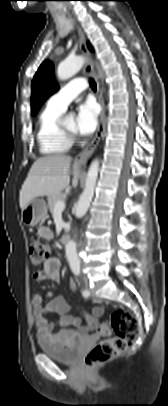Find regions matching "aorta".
I'll return each instance as SVG.
<instances>
[{
  "mask_svg": "<svg viewBox=\"0 0 168 406\" xmlns=\"http://www.w3.org/2000/svg\"><path fill=\"white\" fill-rule=\"evenodd\" d=\"M85 62L84 57L82 56H70L66 58L64 61H62L58 68H57V76L60 80H66L74 76L83 66ZM73 119V115H70L67 118V121ZM98 171H99V160L95 159L88 170L87 173V178H86V184H85V189L83 193L81 194L77 207H76V212L75 215L76 217H81L83 216L92 201V198L94 196V189L98 177ZM76 242L73 240H70L67 245H66V257L69 262L70 268L72 270L79 271L80 269V260L77 255V250H76Z\"/></svg>",
  "mask_w": 168,
  "mask_h": 406,
  "instance_id": "obj_1",
  "label": "aorta"
}]
</instances>
